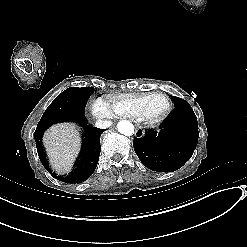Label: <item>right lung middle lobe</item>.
Segmentation results:
<instances>
[{"instance_id": "dd1d6c3e", "label": "right lung middle lobe", "mask_w": 247, "mask_h": 247, "mask_svg": "<svg viewBox=\"0 0 247 247\" xmlns=\"http://www.w3.org/2000/svg\"><path fill=\"white\" fill-rule=\"evenodd\" d=\"M93 91L94 89L91 87L67 88L48 106L40 121L83 114L87 101L93 94Z\"/></svg>"}]
</instances>
